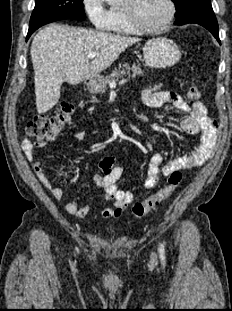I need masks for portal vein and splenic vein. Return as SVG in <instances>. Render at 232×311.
<instances>
[{
	"instance_id": "18ae733b",
	"label": "portal vein and splenic vein",
	"mask_w": 232,
	"mask_h": 311,
	"mask_svg": "<svg viewBox=\"0 0 232 311\" xmlns=\"http://www.w3.org/2000/svg\"><path fill=\"white\" fill-rule=\"evenodd\" d=\"M96 55H97L96 52H90V53L88 54V58H89V59H93V58L96 57ZM125 82H126V80H122V81H120V84H123V83H125ZM109 86H110V88H115V87H116V83H115V82H112V83L109 84Z\"/></svg>"
}]
</instances>
